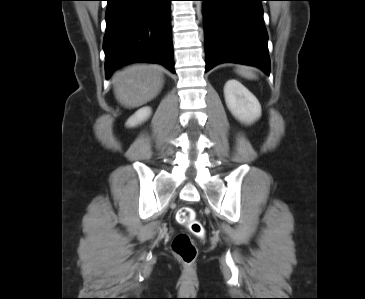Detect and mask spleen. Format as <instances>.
Returning <instances> with one entry per match:
<instances>
[{"instance_id": "3e777b00", "label": "spleen", "mask_w": 365, "mask_h": 299, "mask_svg": "<svg viewBox=\"0 0 365 299\" xmlns=\"http://www.w3.org/2000/svg\"><path fill=\"white\" fill-rule=\"evenodd\" d=\"M238 72L242 76L247 77V78H254L255 77L254 73L249 71L246 67H241L240 69H238Z\"/></svg>"}]
</instances>
